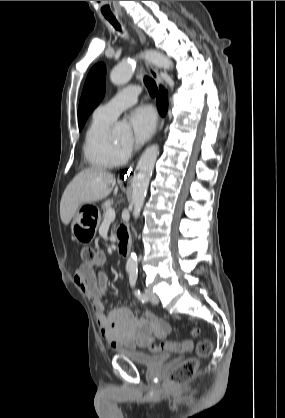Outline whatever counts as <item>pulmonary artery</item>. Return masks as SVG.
<instances>
[{
  "instance_id": "obj_1",
  "label": "pulmonary artery",
  "mask_w": 285,
  "mask_h": 418,
  "mask_svg": "<svg viewBox=\"0 0 285 418\" xmlns=\"http://www.w3.org/2000/svg\"><path fill=\"white\" fill-rule=\"evenodd\" d=\"M140 88L137 85H132L120 93H118L112 100L99 106L94 111V116L109 122H113L118 114L133 105L138 98Z\"/></svg>"
}]
</instances>
